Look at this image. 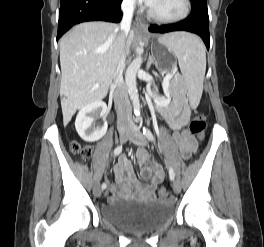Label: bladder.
Returning <instances> with one entry per match:
<instances>
[{"label":"bladder","mask_w":264,"mask_h":247,"mask_svg":"<svg viewBox=\"0 0 264 247\" xmlns=\"http://www.w3.org/2000/svg\"><path fill=\"white\" fill-rule=\"evenodd\" d=\"M173 206L162 200L149 202L119 201L101 208L102 219L130 233L155 230L172 218Z\"/></svg>","instance_id":"obj_1"}]
</instances>
